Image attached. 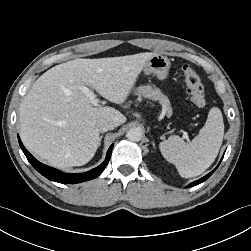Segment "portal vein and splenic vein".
Here are the masks:
<instances>
[{
    "label": "portal vein and splenic vein",
    "instance_id": "18ae733b",
    "mask_svg": "<svg viewBox=\"0 0 251 251\" xmlns=\"http://www.w3.org/2000/svg\"><path fill=\"white\" fill-rule=\"evenodd\" d=\"M80 91L82 94H84L86 97L90 99L91 103L94 106L98 105V98L96 97L94 92H92L89 88H87L86 86H80ZM184 138L186 140H189L187 133L184 134Z\"/></svg>",
    "mask_w": 251,
    "mask_h": 251
}]
</instances>
